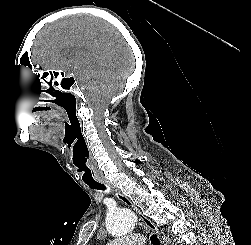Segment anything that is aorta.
I'll return each mask as SVG.
<instances>
[{"label":"aorta","instance_id":"aorta-1","mask_svg":"<svg viewBox=\"0 0 251 245\" xmlns=\"http://www.w3.org/2000/svg\"><path fill=\"white\" fill-rule=\"evenodd\" d=\"M135 226V215L130 209L121 208L107 214L106 228L114 237H121L131 233Z\"/></svg>","mask_w":251,"mask_h":245}]
</instances>
